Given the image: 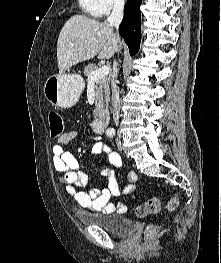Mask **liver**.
Here are the masks:
<instances>
[{"label": "liver", "instance_id": "obj_1", "mask_svg": "<svg viewBox=\"0 0 221 263\" xmlns=\"http://www.w3.org/2000/svg\"><path fill=\"white\" fill-rule=\"evenodd\" d=\"M121 39L107 22L73 15L62 27L57 42L59 72L92 59H110L121 48Z\"/></svg>", "mask_w": 221, "mask_h": 263}]
</instances>
